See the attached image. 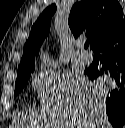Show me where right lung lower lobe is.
Here are the masks:
<instances>
[{
  "mask_svg": "<svg viewBox=\"0 0 125 128\" xmlns=\"http://www.w3.org/2000/svg\"><path fill=\"white\" fill-rule=\"evenodd\" d=\"M98 57L96 65L85 69L90 80L105 77L99 85L107 94L106 114L114 128L125 123V23L98 42L92 49Z\"/></svg>",
  "mask_w": 125,
  "mask_h": 128,
  "instance_id": "right-lung-lower-lobe-1",
  "label": "right lung lower lobe"
}]
</instances>
